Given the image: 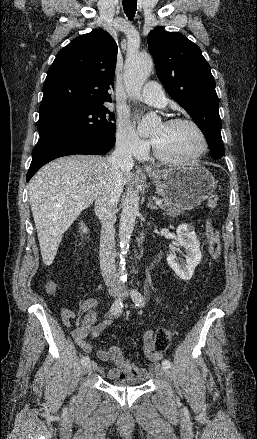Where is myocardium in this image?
<instances>
[{
  "mask_svg": "<svg viewBox=\"0 0 257 439\" xmlns=\"http://www.w3.org/2000/svg\"><path fill=\"white\" fill-rule=\"evenodd\" d=\"M189 125L194 128V130L197 132L201 146L196 154L189 158L181 159V158H172L170 156H167L164 154L159 147L157 146L155 140L151 138V144L153 148V153L155 157L163 162L171 163V164H177V165H193L196 162H198L207 152L208 150V141L206 138V135L202 128L193 120L187 119V118H174L166 120L163 125L164 126H176V125Z\"/></svg>",
  "mask_w": 257,
  "mask_h": 439,
  "instance_id": "f54148a6",
  "label": "myocardium"
}]
</instances>
